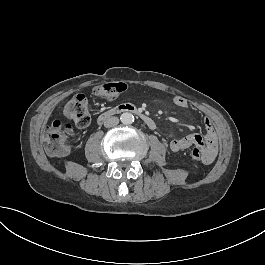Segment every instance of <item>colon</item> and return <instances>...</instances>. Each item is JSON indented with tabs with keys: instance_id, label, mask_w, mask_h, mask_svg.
<instances>
[{
	"instance_id": "1",
	"label": "colon",
	"mask_w": 265,
	"mask_h": 265,
	"mask_svg": "<svg viewBox=\"0 0 265 265\" xmlns=\"http://www.w3.org/2000/svg\"><path fill=\"white\" fill-rule=\"evenodd\" d=\"M125 89L126 85L123 83L104 84L94 87L92 93L105 100H115ZM65 115L77 126L86 127L91 121L88 97L83 93H77L73 100L65 106ZM70 126V122L64 119H56L44 130L43 149L49 156H62L69 152L70 146L67 144V140L71 134ZM201 149L194 145L190 150L191 156L198 161H200Z\"/></svg>"
}]
</instances>
